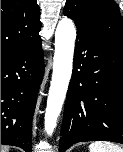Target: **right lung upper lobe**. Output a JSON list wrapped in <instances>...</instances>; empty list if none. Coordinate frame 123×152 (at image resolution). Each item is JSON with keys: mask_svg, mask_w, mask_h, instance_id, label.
<instances>
[{"mask_svg": "<svg viewBox=\"0 0 123 152\" xmlns=\"http://www.w3.org/2000/svg\"><path fill=\"white\" fill-rule=\"evenodd\" d=\"M40 28L36 0H1V53L36 42Z\"/></svg>", "mask_w": 123, "mask_h": 152, "instance_id": "obj_1", "label": "right lung upper lobe"}]
</instances>
